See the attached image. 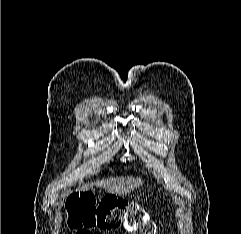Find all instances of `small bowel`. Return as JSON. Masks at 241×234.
Listing matches in <instances>:
<instances>
[{
    "mask_svg": "<svg viewBox=\"0 0 241 234\" xmlns=\"http://www.w3.org/2000/svg\"><path fill=\"white\" fill-rule=\"evenodd\" d=\"M77 234H93L90 230H80L77 232ZM99 234V233H94Z\"/></svg>",
    "mask_w": 241,
    "mask_h": 234,
    "instance_id": "obj_1",
    "label": "small bowel"
}]
</instances>
